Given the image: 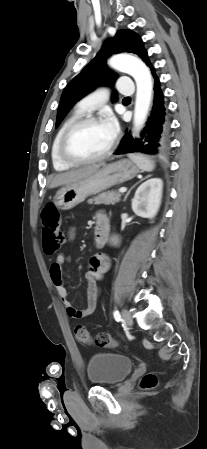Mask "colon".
<instances>
[{
	"mask_svg": "<svg viewBox=\"0 0 207 449\" xmlns=\"http://www.w3.org/2000/svg\"><path fill=\"white\" fill-rule=\"evenodd\" d=\"M42 220V246L45 254L53 255L65 242V237L60 229L61 218L57 208L53 204H47L41 212ZM78 341L91 345L94 342L101 346L115 347L117 345L108 334L100 333L94 340L91 334L81 325H77L74 330ZM157 384V377L153 373L146 374L141 386L143 389H152Z\"/></svg>",
	"mask_w": 207,
	"mask_h": 449,
	"instance_id": "5ec220e1",
	"label": "colon"
}]
</instances>
